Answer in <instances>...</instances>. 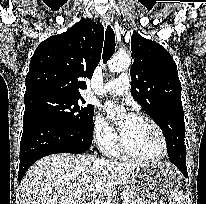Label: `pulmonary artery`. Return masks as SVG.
<instances>
[{
    "instance_id": "e3ab8cb5",
    "label": "pulmonary artery",
    "mask_w": 206,
    "mask_h": 204,
    "mask_svg": "<svg viewBox=\"0 0 206 204\" xmlns=\"http://www.w3.org/2000/svg\"><path fill=\"white\" fill-rule=\"evenodd\" d=\"M130 80L126 74H121L117 79L112 80L100 89L101 94L123 95L129 92Z\"/></svg>"
}]
</instances>
